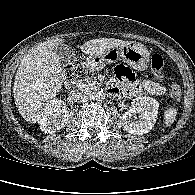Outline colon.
I'll use <instances>...</instances> for the list:
<instances>
[{
  "mask_svg": "<svg viewBox=\"0 0 195 195\" xmlns=\"http://www.w3.org/2000/svg\"><path fill=\"white\" fill-rule=\"evenodd\" d=\"M164 68V60L160 54H153L151 56V70L156 77H162ZM85 75V66L83 62L76 61L71 65L67 71L66 79L68 83H74L83 78ZM169 96L173 100H180L182 96L181 88L178 84L173 83L169 88Z\"/></svg>",
  "mask_w": 195,
  "mask_h": 195,
  "instance_id": "obj_1",
  "label": "colon"
}]
</instances>
